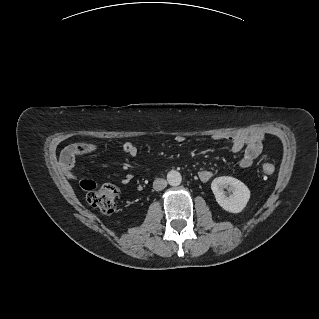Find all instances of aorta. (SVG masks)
<instances>
[{
	"mask_svg": "<svg viewBox=\"0 0 319 319\" xmlns=\"http://www.w3.org/2000/svg\"><path fill=\"white\" fill-rule=\"evenodd\" d=\"M182 181V178H181V175L179 173H176V174H173L172 176H170L169 178V183L172 185V186H177L181 183Z\"/></svg>",
	"mask_w": 319,
	"mask_h": 319,
	"instance_id": "1",
	"label": "aorta"
}]
</instances>
